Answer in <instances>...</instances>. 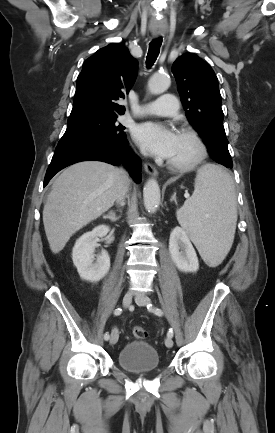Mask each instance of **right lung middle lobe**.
<instances>
[{
  "instance_id": "dd1d6c3e",
  "label": "right lung middle lobe",
  "mask_w": 275,
  "mask_h": 433,
  "mask_svg": "<svg viewBox=\"0 0 275 433\" xmlns=\"http://www.w3.org/2000/svg\"><path fill=\"white\" fill-rule=\"evenodd\" d=\"M118 116L87 115L68 119V127L57 146L105 144L126 140L125 129L117 125Z\"/></svg>"
}]
</instances>
